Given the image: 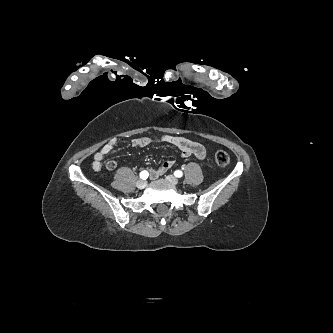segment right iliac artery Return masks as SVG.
<instances>
[{
    "label": "right iliac artery",
    "instance_id": "obj_1",
    "mask_svg": "<svg viewBox=\"0 0 333 333\" xmlns=\"http://www.w3.org/2000/svg\"><path fill=\"white\" fill-rule=\"evenodd\" d=\"M148 176H149V173L145 170L140 173V178L143 180L147 179Z\"/></svg>",
    "mask_w": 333,
    "mask_h": 333
}]
</instances>
